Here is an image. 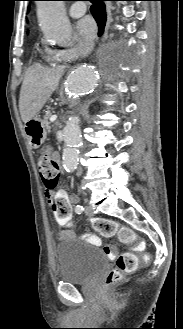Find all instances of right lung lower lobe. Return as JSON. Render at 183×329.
Wrapping results in <instances>:
<instances>
[{"mask_svg": "<svg viewBox=\"0 0 183 329\" xmlns=\"http://www.w3.org/2000/svg\"><path fill=\"white\" fill-rule=\"evenodd\" d=\"M104 1L105 0H91L93 5L90 10L99 27V35L103 33L106 24V7Z\"/></svg>", "mask_w": 183, "mask_h": 329, "instance_id": "obj_1", "label": "right lung lower lobe"}]
</instances>
